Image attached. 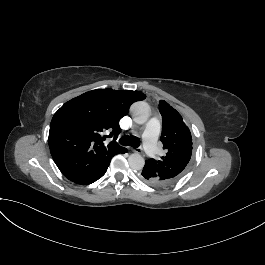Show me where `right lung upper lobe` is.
<instances>
[{
	"label": "right lung upper lobe",
	"mask_w": 265,
	"mask_h": 265,
	"mask_svg": "<svg viewBox=\"0 0 265 265\" xmlns=\"http://www.w3.org/2000/svg\"><path fill=\"white\" fill-rule=\"evenodd\" d=\"M146 95L139 91L96 89L65 103L53 116L49 148L59 170L77 184H91L101 178L112 157L125 148L116 141L105 145V137L120 132L119 119L133 102ZM111 131L109 136L103 133Z\"/></svg>",
	"instance_id": "1"
}]
</instances>
